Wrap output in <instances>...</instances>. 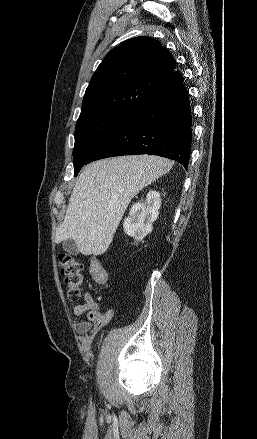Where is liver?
<instances>
[{"instance_id": "liver-1", "label": "liver", "mask_w": 257, "mask_h": 439, "mask_svg": "<svg viewBox=\"0 0 257 439\" xmlns=\"http://www.w3.org/2000/svg\"><path fill=\"white\" fill-rule=\"evenodd\" d=\"M172 165L163 157L132 155L85 166L69 198L55 242L72 239L83 255L105 253L132 198L166 174Z\"/></svg>"}]
</instances>
